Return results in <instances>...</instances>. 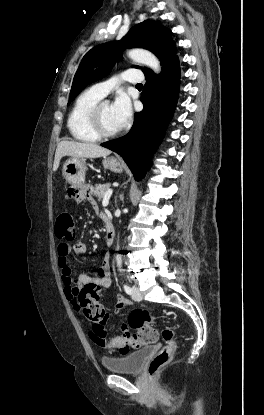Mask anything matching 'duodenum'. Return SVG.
Listing matches in <instances>:
<instances>
[{
    "instance_id": "obj_1",
    "label": "duodenum",
    "mask_w": 264,
    "mask_h": 415,
    "mask_svg": "<svg viewBox=\"0 0 264 415\" xmlns=\"http://www.w3.org/2000/svg\"><path fill=\"white\" fill-rule=\"evenodd\" d=\"M115 239V231L111 221V218L107 216L105 218V241L106 244L111 246L114 243Z\"/></svg>"
}]
</instances>
